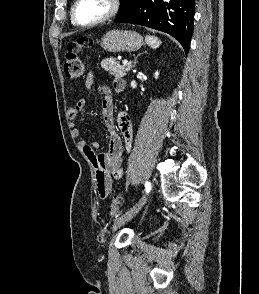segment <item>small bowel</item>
<instances>
[{"instance_id":"obj_1","label":"small bowel","mask_w":259,"mask_h":294,"mask_svg":"<svg viewBox=\"0 0 259 294\" xmlns=\"http://www.w3.org/2000/svg\"><path fill=\"white\" fill-rule=\"evenodd\" d=\"M94 84V77L90 73L85 80V87L90 89ZM125 88V81L121 78H115L113 81V89L120 93ZM98 91L102 96L101 116L110 132L108 151L97 153L94 148L98 147L97 143L91 145L87 141H80L79 145L94 167L97 181V189L102 198H106L111 190L112 181L120 180L123 177L122 155L129 152L133 142V129L129 116L120 111L117 116V125L113 117V101L111 98V90L106 85L98 87ZM85 106V99L81 98L78 102L68 109V118L72 124L71 134L73 137H79L80 128L75 126V121L79 112Z\"/></svg>"}]
</instances>
